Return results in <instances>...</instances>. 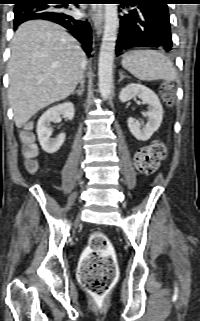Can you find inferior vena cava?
Returning <instances> with one entry per match:
<instances>
[{
    "label": "inferior vena cava",
    "mask_w": 200,
    "mask_h": 321,
    "mask_svg": "<svg viewBox=\"0 0 200 321\" xmlns=\"http://www.w3.org/2000/svg\"><path fill=\"white\" fill-rule=\"evenodd\" d=\"M85 65H86V60L84 58L82 60V63H81V72H80V75H79V79L81 80V83H83V73H84V70H85Z\"/></svg>",
    "instance_id": "1"
}]
</instances>
